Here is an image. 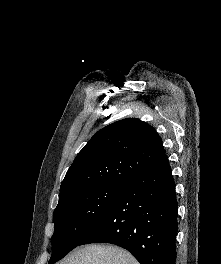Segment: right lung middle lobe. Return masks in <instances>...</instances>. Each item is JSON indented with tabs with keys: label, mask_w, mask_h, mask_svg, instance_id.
<instances>
[{
	"label": "right lung middle lobe",
	"mask_w": 221,
	"mask_h": 264,
	"mask_svg": "<svg viewBox=\"0 0 221 264\" xmlns=\"http://www.w3.org/2000/svg\"><path fill=\"white\" fill-rule=\"evenodd\" d=\"M126 183H103L76 192L58 203L54 213L53 253L49 264L63 258L100 224Z\"/></svg>",
	"instance_id": "1"
}]
</instances>
